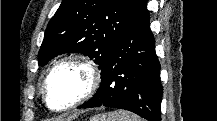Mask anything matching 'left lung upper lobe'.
Listing matches in <instances>:
<instances>
[{
  "mask_svg": "<svg viewBox=\"0 0 217 121\" xmlns=\"http://www.w3.org/2000/svg\"><path fill=\"white\" fill-rule=\"evenodd\" d=\"M142 0H62L46 28L38 64L78 52L102 69Z\"/></svg>",
  "mask_w": 217,
  "mask_h": 121,
  "instance_id": "obj_1",
  "label": "left lung upper lobe"
}]
</instances>
